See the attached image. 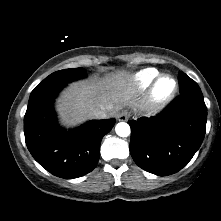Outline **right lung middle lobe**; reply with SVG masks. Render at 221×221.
Wrapping results in <instances>:
<instances>
[{"mask_svg":"<svg viewBox=\"0 0 221 221\" xmlns=\"http://www.w3.org/2000/svg\"><path fill=\"white\" fill-rule=\"evenodd\" d=\"M85 76L84 69L73 68L60 70L46 77L32 92L31 95L52 87L65 86L67 83L83 78Z\"/></svg>","mask_w":221,"mask_h":221,"instance_id":"dd1d6c3e","label":"right lung middle lobe"}]
</instances>
